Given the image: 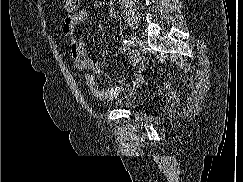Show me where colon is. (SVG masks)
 Segmentation results:
<instances>
[{"mask_svg": "<svg viewBox=\"0 0 243 182\" xmlns=\"http://www.w3.org/2000/svg\"><path fill=\"white\" fill-rule=\"evenodd\" d=\"M79 7V0H64V10L69 13L73 14L78 10Z\"/></svg>", "mask_w": 243, "mask_h": 182, "instance_id": "5ec220e1", "label": "colon"}]
</instances>
